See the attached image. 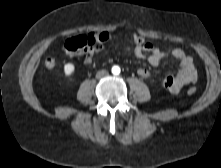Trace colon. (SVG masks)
Returning a JSON list of instances; mask_svg holds the SVG:
<instances>
[{
  "instance_id": "1",
  "label": "colon",
  "mask_w": 221,
  "mask_h": 168,
  "mask_svg": "<svg viewBox=\"0 0 221 168\" xmlns=\"http://www.w3.org/2000/svg\"><path fill=\"white\" fill-rule=\"evenodd\" d=\"M118 36H110L108 32H99L98 34H88V35H78L69 38L64 43V51L67 56L75 57L82 54H88L91 52L95 46L100 44H113L118 43ZM130 43L133 46L137 47H145L148 44V39L146 37H142L139 34H134L130 38ZM56 65V61L54 58H47L45 60V66L48 69L54 68ZM189 95H194L196 93L195 87H190L187 90Z\"/></svg>"
}]
</instances>
